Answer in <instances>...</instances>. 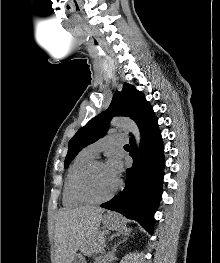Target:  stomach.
<instances>
[{
  "label": "stomach",
  "mask_w": 220,
  "mask_h": 263,
  "mask_svg": "<svg viewBox=\"0 0 220 263\" xmlns=\"http://www.w3.org/2000/svg\"><path fill=\"white\" fill-rule=\"evenodd\" d=\"M101 220L104 228H107L108 230L121 231L125 229V222L123 218L116 213H107ZM71 263H85V260L81 254H75Z\"/></svg>",
  "instance_id": "stomach-1"
}]
</instances>
